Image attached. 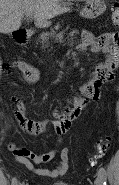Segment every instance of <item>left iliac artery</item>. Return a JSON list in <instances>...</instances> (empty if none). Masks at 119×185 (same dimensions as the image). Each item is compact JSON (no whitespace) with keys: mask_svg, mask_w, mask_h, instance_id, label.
<instances>
[{"mask_svg":"<svg viewBox=\"0 0 119 185\" xmlns=\"http://www.w3.org/2000/svg\"><path fill=\"white\" fill-rule=\"evenodd\" d=\"M99 173L102 175V177H103V180H104V183H103V185H106V170H105V168L104 167H101L100 169H99Z\"/></svg>","mask_w":119,"mask_h":185,"instance_id":"obj_1","label":"left iliac artery"}]
</instances>
